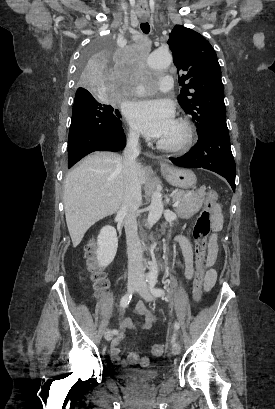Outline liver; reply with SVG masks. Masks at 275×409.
<instances>
[{"label": "liver", "instance_id": "6515ba94", "mask_svg": "<svg viewBox=\"0 0 275 409\" xmlns=\"http://www.w3.org/2000/svg\"><path fill=\"white\" fill-rule=\"evenodd\" d=\"M137 166L144 184L146 172L140 162ZM123 168L121 154L94 152L67 174L64 211L73 247H78L91 225L118 211L124 194Z\"/></svg>", "mask_w": 275, "mask_h": 409}]
</instances>
